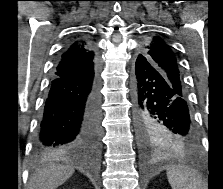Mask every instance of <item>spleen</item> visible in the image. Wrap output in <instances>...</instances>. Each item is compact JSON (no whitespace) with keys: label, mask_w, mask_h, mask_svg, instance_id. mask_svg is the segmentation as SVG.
<instances>
[{"label":"spleen","mask_w":223,"mask_h":189,"mask_svg":"<svg viewBox=\"0 0 223 189\" xmlns=\"http://www.w3.org/2000/svg\"><path fill=\"white\" fill-rule=\"evenodd\" d=\"M167 178L172 189H200L201 182L196 173L183 165L173 166L167 170Z\"/></svg>","instance_id":"obj_1"}]
</instances>
